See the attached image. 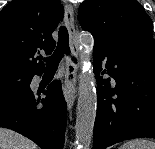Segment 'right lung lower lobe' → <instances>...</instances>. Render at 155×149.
<instances>
[{
  "mask_svg": "<svg viewBox=\"0 0 155 149\" xmlns=\"http://www.w3.org/2000/svg\"><path fill=\"white\" fill-rule=\"evenodd\" d=\"M44 94L45 99L32 91L22 96H0V127L26 136L42 149H62L67 105L60 81H53ZM40 102L43 107L37 108Z\"/></svg>",
  "mask_w": 155,
  "mask_h": 149,
  "instance_id": "1",
  "label": "right lung lower lobe"
}]
</instances>
